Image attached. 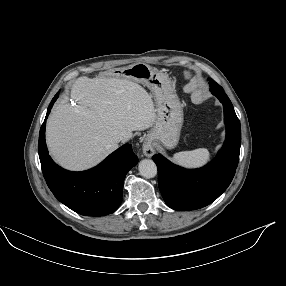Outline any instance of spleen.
<instances>
[{
  "label": "spleen",
  "mask_w": 286,
  "mask_h": 286,
  "mask_svg": "<svg viewBox=\"0 0 286 286\" xmlns=\"http://www.w3.org/2000/svg\"><path fill=\"white\" fill-rule=\"evenodd\" d=\"M210 158L207 149L199 148L192 151H182L174 154L173 161L185 167H198L204 165Z\"/></svg>",
  "instance_id": "3e777b00"
}]
</instances>
